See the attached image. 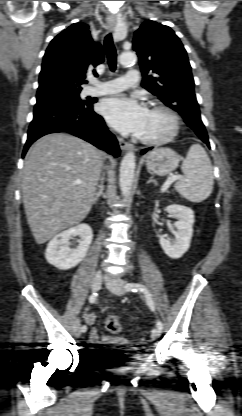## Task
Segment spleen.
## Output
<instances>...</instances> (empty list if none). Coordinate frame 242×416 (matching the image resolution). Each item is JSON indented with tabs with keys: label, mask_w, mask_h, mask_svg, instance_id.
<instances>
[{
	"label": "spleen",
	"mask_w": 242,
	"mask_h": 416,
	"mask_svg": "<svg viewBox=\"0 0 242 416\" xmlns=\"http://www.w3.org/2000/svg\"><path fill=\"white\" fill-rule=\"evenodd\" d=\"M184 176L175 185V190L192 202H201L212 193L214 177L210 158L200 144H193L182 166Z\"/></svg>",
	"instance_id": "obj_1"
}]
</instances>
